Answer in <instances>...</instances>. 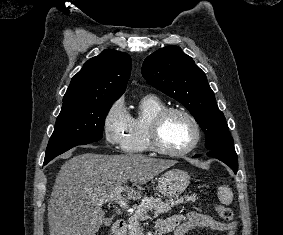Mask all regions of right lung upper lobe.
I'll return each instance as SVG.
<instances>
[{
    "instance_id": "1",
    "label": "right lung upper lobe",
    "mask_w": 283,
    "mask_h": 235,
    "mask_svg": "<svg viewBox=\"0 0 283 235\" xmlns=\"http://www.w3.org/2000/svg\"><path fill=\"white\" fill-rule=\"evenodd\" d=\"M130 71L131 57L127 53L104 50L89 59L72 78L63 103L116 101L126 89Z\"/></svg>"
}]
</instances>
